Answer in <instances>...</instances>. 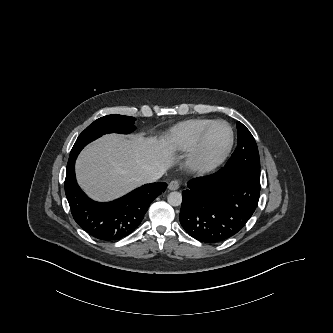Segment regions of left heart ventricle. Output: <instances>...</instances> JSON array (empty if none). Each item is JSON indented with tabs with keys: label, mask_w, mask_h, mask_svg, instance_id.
Returning <instances> with one entry per match:
<instances>
[{
	"label": "left heart ventricle",
	"mask_w": 333,
	"mask_h": 333,
	"mask_svg": "<svg viewBox=\"0 0 333 333\" xmlns=\"http://www.w3.org/2000/svg\"><path fill=\"white\" fill-rule=\"evenodd\" d=\"M228 135V129L224 125L218 124L214 126L205 148V156L212 158L218 155L225 147Z\"/></svg>",
	"instance_id": "b2bd125f"
}]
</instances>
